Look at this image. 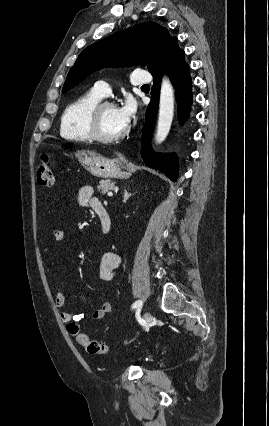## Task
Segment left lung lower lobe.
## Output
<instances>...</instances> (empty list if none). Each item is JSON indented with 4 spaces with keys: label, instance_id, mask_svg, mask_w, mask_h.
<instances>
[{
    "label": "left lung lower lobe",
    "instance_id": "0a47b994",
    "mask_svg": "<svg viewBox=\"0 0 269 426\" xmlns=\"http://www.w3.org/2000/svg\"><path fill=\"white\" fill-rule=\"evenodd\" d=\"M153 75L152 99L146 111V122L142 135V155L147 166L164 172L171 180L178 177V162L174 154H156L150 147V139L154 129L159 105L160 82L162 72H165L172 81L178 102V116L183 123L189 116V106L192 103V81L190 68L185 61V53L178 46L175 38L156 64L149 70Z\"/></svg>",
    "mask_w": 269,
    "mask_h": 426
}]
</instances>
